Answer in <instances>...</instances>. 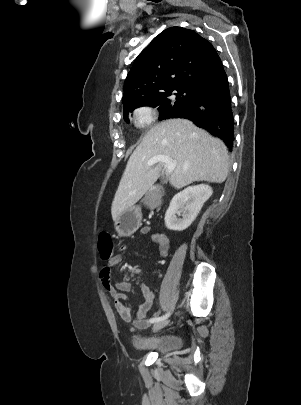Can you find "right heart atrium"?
I'll return each instance as SVG.
<instances>
[{
  "label": "right heart atrium",
  "instance_id": "right-heart-atrium-1",
  "mask_svg": "<svg viewBox=\"0 0 301 405\" xmlns=\"http://www.w3.org/2000/svg\"><path fill=\"white\" fill-rule=\"evenodd\" d=\"M157 116L156 110L151 106H141L133 113V119L138 127H146L152 123Z\"/></svg>",
  "mask_w": 301,
  "mask_h": 405
}]
</instances>
